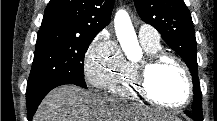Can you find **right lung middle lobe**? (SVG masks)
<instances>
[{
	"label": "right lung middle lobe",
	"mask_w": 217,
	"mask_h": 121,
	"mask_svg": "<svg viewBox=\"0 0 217 121\" xmlns=\"http://www.w3.org/2000/svg\"><path fill=\"white\" fill-rule=\"evenodd\" d=\"M94 37L40 30L27 89L56 78L69 79L75 85L87 88L83 76L84 54Z\"/></svg>",
	"instance_id": "right-lung-middle-lobe-1"
}]
</instances>
